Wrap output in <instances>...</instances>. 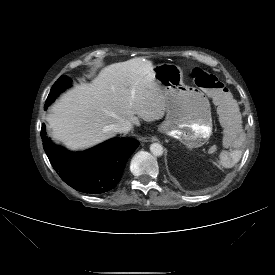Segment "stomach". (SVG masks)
Wrapping results in <instances>:
<instances>
[{
  "mask_svg": "<svg viewBox=\"0 0 275 275\" xmlns=\"http://www.w3.org/2000/svg\"><path fill=\"white\" fill-rule=\"evenodd\" d=\"M153 72L166 107V118L159 132L178 139L189 148L205 144L212 134L208 98L200 90L183 83V70L178 65H156Z\"/></svg>",
  "mask_w": 275,
  "mask_h": 275,
  "instance_id": "1",
  "label": "stomach"
}]
</instances>
